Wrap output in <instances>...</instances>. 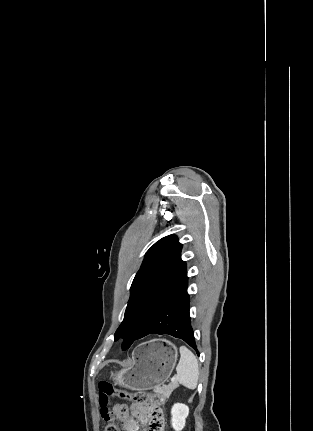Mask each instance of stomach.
<instances>
[{"label":"stomach","instance_id":"obj_1","mask_svg":"<svg viewBox=\"0 0 313 431\" xmlns=\"http://www.w3.org/2000/svg\"><path fill=\"white\" fill-rule=\"evenodd\" d=\"M177 356L176 346L165 339L143 342L135 348L131 364L111 377L115 385L127 389H155L168 380Z\"/></svg>","mask_w":313,"mask_h":431}]
</instances>
